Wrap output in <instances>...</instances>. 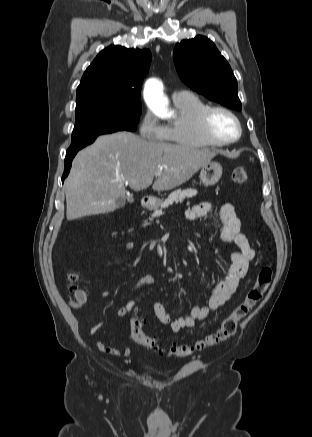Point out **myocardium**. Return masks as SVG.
Wrapping results in <instances>:
<instances>
[{"instance_id": "1", "label": "myocardium", "mask_w": 312, "mask_h": 437, "mask_svg": "<svg viewBox=\"0 0 312 437\" xmlns=\"http://www.w3.org/2000/svg\"><path fill=\"white\" fill-rule=\"evenodd\" d=\"M215 112H223L227 115H229L236 123L237 125V134L235 137L227 140H221L216 138L210 131L209 128V120L213 113ZM197 127L200 135L210 144L216 145V146H226L229 144H232L236 141H238L242 135V124L238 116L231 111L229 108L221 106V105H214V106H208L205 109H203L197 118Z\"/></svg>"}]
</instances>
